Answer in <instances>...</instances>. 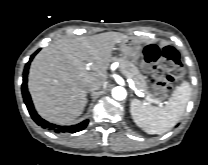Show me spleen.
<instances>
[{"instance_id":"obj_1","label":"spleen","mask_w":208,"mask_h":165,"mask_svg":"<svg viewBox=\"0 0 208 165\" xmlns=\"http://www.w3.org/2000/svg\"><path fill=\"white\" fill-rule=\"evenodd\" d=\"M191 87L184 81L163 107H151L138 99L130 104L131 116L138 127L148 134H163L174 127L184 114Z\"/></svg>"}]
</instances>
